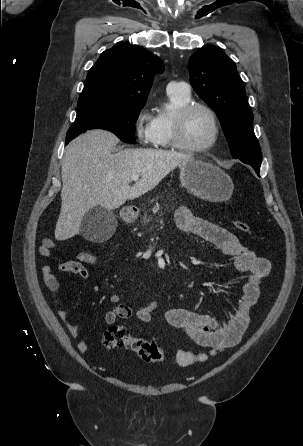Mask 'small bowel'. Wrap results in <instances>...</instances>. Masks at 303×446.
Wrapping results in <instances>:
<instances>
[{"label":"small bowel","mask_w":303,"mask_h":446,"mask_svg":"<svg viewBox=\"0 0 303 446\" xmlns=\"http://www.w3.org/2000/svg\"><path fill=\"white\" fill-rule=\"evenodd\" d=\"M175 221L178 228L190 235L196 236L206 242L213 244L224 254L233 257L235 269L247 275L243 286V295L234 313L226 320H219L208 313L196 312L183 308H171L166 314L167 322L184 331V333L197 345L206 351L178 350L176 362L187 366L196 362L205 361L209 356L223 352L234 347L240 341L249 322L253 307L260 296V285L271 270V264L266 258L258 256L249 247L242 245L238 238L226 228L197 217L187 207H179L175 212ZM55 243L52 239L45 237L38 248V255L45 259L51 256ZM44 282L50 290L53 298L58 299L61 283L48 264L42 265ZM58 270L75 274L80 280L89 277L87 268L79 261L69 260L58 266ZM109 302L113 307L105 313V322L113 324L117 319H128L135 317L144 323H149L153 312L158 306V301L153 300L136 311L126 304L120 303L121 296L112 294ZM58 315L68 328L71 336L78 339L81 329L68 317L66 307L57 302ZM80 352L88 350L85 340L77 342Z\"/></svg>","instance_id":"small-bowel-1"}]
</instances>
